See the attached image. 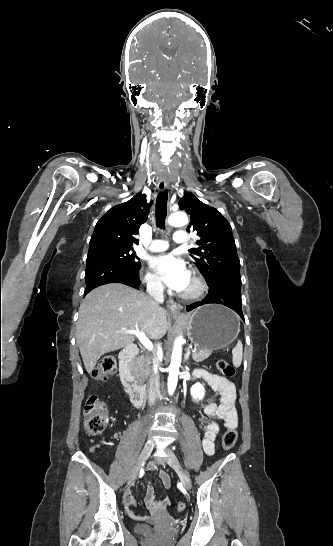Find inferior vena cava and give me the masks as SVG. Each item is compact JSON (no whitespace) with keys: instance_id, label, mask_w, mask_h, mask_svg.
Listing matches in <instances>:
<instances>
[{"instance_id":"obj_1","label":"inferior vena cava","mask_w":333,"mask_h":546,"mask_svg":"<svg viewBox=\"0 0 333 546\" xmlns=\"http://www.w3.org/2000/svg\"><path fill=\"white\" fill-rule=\"evenodd\" d=\"M147 293L156 301L157 304L164 302L163 285L160 280L152 279L147 284ZM149 405H154L160 395L159 379L156 374H152L148 383Z\"/></svg>"}]
</instances>
